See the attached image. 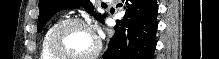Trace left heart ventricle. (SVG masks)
<instances>
[{
	"mask_svg": "<svg viewBox=\"0 0 219 59\" xmlns=\"http://www.w3.org/2000/svg\"><path fill=\"white\" fill-rule=\"evenodd\" d=\"M60 44L67 54L80 56L90 53L95 47L96 40L88 28L72 25L62 33Z\"/></svg>",
	"mask_w": 219,
	"mask_h": 59,
	"instance_id": "left-heart-ventricle-1",
	"label": "left heart ventricle"
}]
</instances>
